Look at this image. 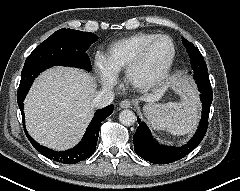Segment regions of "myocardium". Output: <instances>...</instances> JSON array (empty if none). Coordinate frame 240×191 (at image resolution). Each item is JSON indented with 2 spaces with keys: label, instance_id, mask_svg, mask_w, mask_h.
Here are the masks:
<instances>
[{
  "label": "myocardium",
  "instance_id": "f54148a6",
  "mask_svg": "<svg viewBox=\"0 0 240 191\" xmlns=\"http://www.w3.org/2000/svg\"><path fill=\"white\" fill-rule=\"evenodd\" d=\"M162 39H166L171 43L172 46V53L170 56L169 61L167 62L166 66L164 67V69L160 72L159 75H157L155 78L151 79V80H139L137 78V73L138 71L142 68V66L144 65L148 54L150 52V50L152 49V47L159 41ZM176 55H177V48H176V44L174 42V40L165 34H158L157 36H155L153 39H151L141 50V52L139 53V55L136 57V59L130 64V66L126 69L125 71V78L127 80V82L134 88L139 89V90H150V89H154L157 88L158 86H160L164 80L168 77L173 64L175 62L176 59Z\"/></svg>",
  "mask_w": 240,
  "mask_h": 191
}]
</instances>
